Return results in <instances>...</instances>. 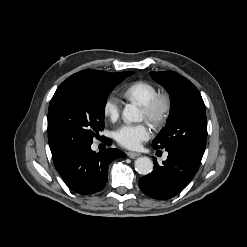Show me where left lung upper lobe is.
<instances>
[{
	"instance_id": "obj_1",
	"label": "left lung upper lobe",
	"mask_w": 247,
	"mask_h": 247,
	"mask_svg": "<svg viewBox=\"0 0 247 247\" xmlns=\"http://www.w3.org/2000/svg\"><path fill=\"white\" fill-rule=\"evenodd\" d=\"M150 74L166 88L171 97L167 124L153 140V147L203 156L207 120L200 92L188 79L176 72L160 71Z\"/></svg>"
}]
</instances>
